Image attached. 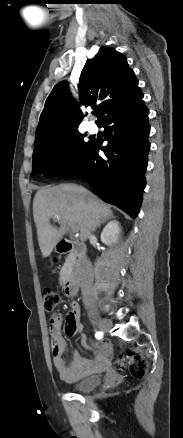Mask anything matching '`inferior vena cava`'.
I'll return each instance as SVG.
<instances>
[{
    "mask_svg": "<svg viewBox=\"0 0 183 438\" xmlns=\"http://www.w3.org/2000/svg\"><path fill=\"white\" fill-rule=\"evenodd\" d=\"M82 271H83V284H82V294H83V302L86 307H89L92 300V284H93V269L89 260L85 259L82 263Z\"/></svg>",
    "mask_w": 183,
    "mask_h": 438,
    "instance_id": "obj_1",
    "label": "inferior vena cava"
}]
</instances>
